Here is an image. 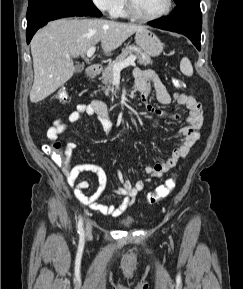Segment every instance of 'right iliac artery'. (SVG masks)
<instances>
[{
  "label": "right iliac artery",
  "instance_id": "1",
  "mask_svg": "<svg viewBox=\"0 0 243 289\" xmlns=\"http://www.w3.org/2000/svg\"><path fill=\"white\" fill-rule=\"evenodd\" d=\"M78 233L80 235V238L84 237V229H83V221H82V219H80L79 222H78Z\"/></svg>",
  "mask_w": 243,
  "mask_h": 289
}]
</instances>
